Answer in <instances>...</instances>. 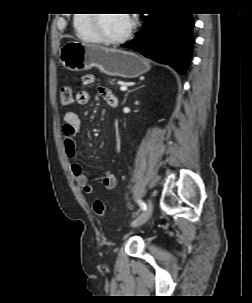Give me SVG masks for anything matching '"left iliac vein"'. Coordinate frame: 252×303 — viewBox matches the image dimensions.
<instances>
[{
	"label": "left iliac vein",
	"mask_w": 252,
	"mask_h": 303,
	"mask_svg": "<svg viewBox=\"0 0 252 303\" xmlns=\"http://www.w3.org/2000/svg\"><path fill=\"white\" fill-rule=\"evenodd\" d=\"M152 212H153V203L150 200H148L147 208L141 213L140 216H138L135 220L131 222V226L138 227L140 225H143L150 219Z\"/></svg>",
	"instance_id": "1"
}]
</instances>
